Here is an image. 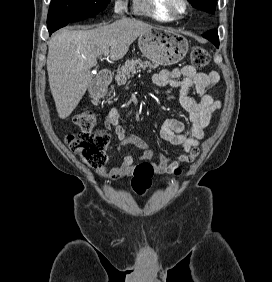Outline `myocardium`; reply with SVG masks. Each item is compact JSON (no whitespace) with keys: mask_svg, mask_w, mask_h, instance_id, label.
<instances>
[{"mask_svg":"<svg viewBox=\"0 0 272 282\" xmlns=\"http://www.w3.org/2000/svg\"><path fill=\"white\" fill-rule=\"evenodd\" d=\"M163 5L175 18L183 17L189 9L187 0H164Z\"/></svg>","mask_w":272,"mask_h":282,"instance_id":"myocardium-1","label":"myocardium"}]
</instances>
